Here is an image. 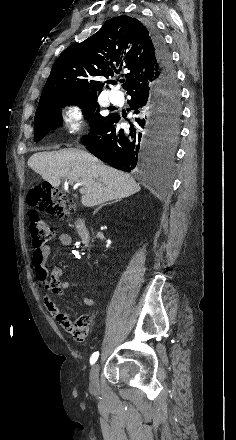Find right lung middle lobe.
<instances>
[{"label": "right lung middle lobe", "mask_w": 236, "mask_h": 440, "mask_svg": "<svg viewBox=\"0 0 236 440\" xmlns=\"http://www.w3.org/2000/svg\"><path fill=\"white\" fill-rule=\"evenodd\" d=\"M157 92L168 106L164 111V121L158 134L159 144L163 148L160 161L173 155L174 144L178 136V122L180 117V90L177 84H168L157 87ZM67 105H77L83 108V114L89 119L90 130L105 121L108 116L100 114L97 94L73 93L56 95L39 101L34 120V141L41 140L50 130L61 126V108Z\"/></svg>", "instance_id": "1"}]
</instances>
